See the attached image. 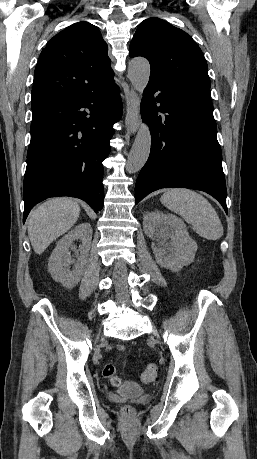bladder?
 I'll list each match as a JSON object with an SVG mask.
<instances>
[{
	"mask_svg": "<svg viewBox=\"0 0 257 459\" xmlns=\"http://www.w3.org/2000/svg\"><path fill=\"white\" fill-rule=\"evenodd\" d=\"M118 393L126 396H139L144 393V388L134 383H125L118 389Z\"/></svg>",
	"mask_w": 257,
	"mask_h": 459,
	"instance_id": "obj_1",
	"label": "bladder"
}]
</instances>
